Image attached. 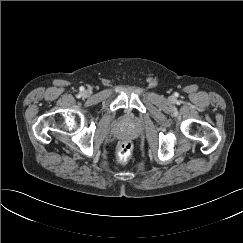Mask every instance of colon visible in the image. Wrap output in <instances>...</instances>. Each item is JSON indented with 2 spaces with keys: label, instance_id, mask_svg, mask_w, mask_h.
I'll use <instances>...</instances> for the list:
<instances>
[{
  "label": "colon",
  "instance_id": "obj_1",
  "mask_svg": "<svg viewBox=\"0 0 243 243\" xmlns=\"http://www.w3.org/2000/svg\"><path fill=\"white\" fill-rule=\"evenodd\" d=\"M132 143L130 141H122L117 147V157L120 162H126L132 152Z\"/></svg>",
  "mask_w": 243,
  "mask_h": 243
}]
</instances>
